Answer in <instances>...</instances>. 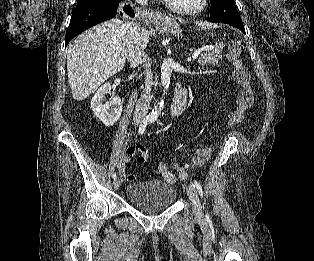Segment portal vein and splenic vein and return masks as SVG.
Masks as SVG:
<instances>
[{"instance_id":"obj_1","label":"portal vein and splenic vein","mask_w":314,"mask_h":261,"mask_svg":"<svg viewBox=\"0 0 314 261\" xmlns=\"http://www.w3.org/2000/svg\"><path fill=\"white\" fill-rule=\"evenodd\" d=\"M211 49H213V46H212V45H211V46H205V47H203L201 50L195 51V52L192 54V59H193V60L197 59V57L200 55V53H201L202 51H207V50H211Z\"/></svg>"}]
</instances>
